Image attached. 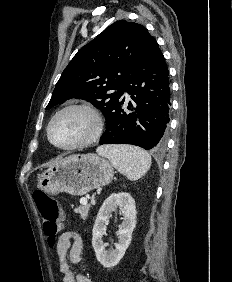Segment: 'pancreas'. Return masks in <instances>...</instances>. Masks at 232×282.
<instances>
[{"instance_id": "obj_1", "label": "pancreas", "mask_w": 232, "mask_h": 282, "mask_svg": "<svg viewBox=\"0 0 232 282\" xmlns=\"http://www.w3.org/2000/svg\"><path fill=\"white\" fill-rule=\"evenodd\" d=\"M90 209V205H81L78 208L75 209V212L80 214L81 218L83 220L87 219L88 211Z\"/></svg>"}]
</instances>
